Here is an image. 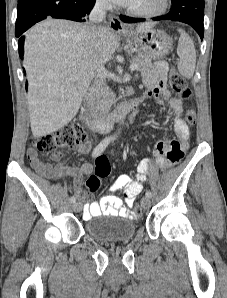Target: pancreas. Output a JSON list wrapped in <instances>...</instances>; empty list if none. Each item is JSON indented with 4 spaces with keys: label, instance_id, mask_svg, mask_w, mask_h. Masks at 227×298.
<instances>
[{
    "label": "pancreas",
    "instance_id": "cf45deb5",
    "mask_svg": "<svg viewBox=\"0 0 227 298\" xmlns=\"http://www.w3.org/2000/svg\"><path fill=\"white\" fill-rule=\"evenodd\" d=\"M137 64V71L143 73L152 67L151 58L145 54H139L133 60ZM116 102L115 94L108 88L102 90L96 97V109L100 113H106Z\"/></svg>",
    "mask_w": 227,
    "mask_h": 298
}]
</instances>
